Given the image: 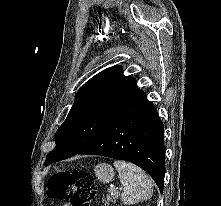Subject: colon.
<instances>
[{"label":"colon","instance_id":"obj_1","mask_svg":"<svg viewBox=\"0 0 221 206\" xmlns=\"http://www.w3.org/2000/svg\"><path fill=\"white\" fill-rule=\"evenodd\" d=\"M51 194L69 200L72 206H90L96 193L92 174L79 170H62L48 181Z\"/></svg>","mask_w":221,"mask_h":206}]
</instances>
